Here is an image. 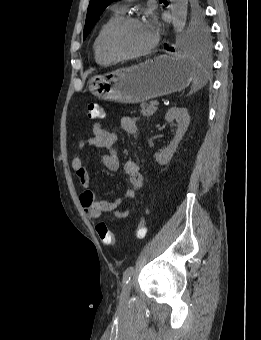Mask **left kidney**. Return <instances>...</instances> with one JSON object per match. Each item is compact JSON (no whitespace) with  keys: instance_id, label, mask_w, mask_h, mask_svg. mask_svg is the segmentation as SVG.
I'll return each instance as SVG.
<instances>
[{"instance_id":"1","label":"left kidney","mask_w":261,"mask_h":340,"mask_svg":"<svg viewBox=\"0 0 261 340\" xmlns=\"http://www.w3.org/2000/svg\"><path fill=\"white\" fill-rule=\"evenodd\" d=\"M165 119L170 123V126H173V121L176 120L177 129L168 147L154 154L156 162L160 165H165L171 160L190 123V116L186 108L173 107L169 109L165 115Z\"/></svg>"}]
</instances>
